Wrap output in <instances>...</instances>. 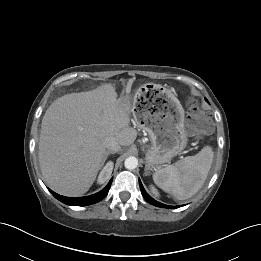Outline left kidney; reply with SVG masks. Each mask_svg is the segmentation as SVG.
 Here are the masks:
<instances>
[{
	"label": "left kidney",
	"instance_id": "left-kidney-1",
	"mask_svg": "<svg viewBox=\"0 0 261 261\" xmlns=\"http://www.w3.org/2000/svg\"><path fill=\"white\" fill-rule=\"evenodd\" d=\"M150 191L152 192V194H154L155 196H159V193L157 191V189H155L154 186L150 185Z\"/></svg>",
	"mask_w": 261,
	"mask_h": 261
}]
</instances>
